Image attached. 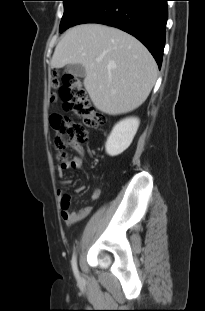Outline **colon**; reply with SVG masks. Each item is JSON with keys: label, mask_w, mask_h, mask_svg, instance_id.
<instances>
[{"label": "colon", "mask_w": 205, "mask_h": 311, "mask_svg": "<svg viewBox=\"0 0 205 311\" xmlns=\"http://www.w3.org/2000/svg\"><path fill=\"white\" fill-rule=\"evenodd\" d=\"M50 103L60 102L65 111L81 120L77 122L67 115L52 113L50 124L56 133V147L59 159L66 161L67 152L77 149L87 141L90 129H98L105 125V119L98 114L86 98L82 80L69 73L54 74L50 83Z\"/></svg>", "instance_id": "5ec220e1"}]
</instances>
